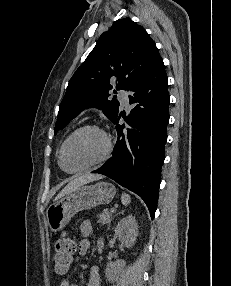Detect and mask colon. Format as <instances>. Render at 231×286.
<instances>
[{"label":"colon","instance_id":"5ec220e1","mask_svg":"<svg viewBox=\"0 0 231 286\" xmlns=\"http://www.w3.org/2000/svg\"><path fill=\"white\" fill-rule=\"evenodd\" d=\"M75 252L76 243L74 238L67 233H63L55 245L54 266L57 274L64 275L69 271Z\"/></svg>","mask_w":231,"mask_h":286}]
</instances>
